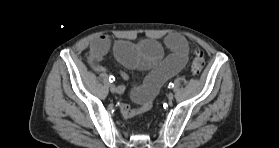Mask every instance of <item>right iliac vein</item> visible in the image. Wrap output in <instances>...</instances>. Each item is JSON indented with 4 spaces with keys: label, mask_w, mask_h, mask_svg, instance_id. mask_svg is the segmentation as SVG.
I'll use <instances>...</instances> for the list:
<instances>
[{
    "label": "right iliac vein",
    "mask_w": 279,
    "mask_h": 148,
    "mask_svg": "<svg viewBox=\"0 0 279 148\" xmlns=\"http://www.w3.org/2000/svg\"><path fill=\"white\" fill-rule=\"evenodd\" d=\"M110 91L112 93H116L117 92V87L114 84H110Z\"/></svg>",
    "instance_id": "1"
}]
</instances>
